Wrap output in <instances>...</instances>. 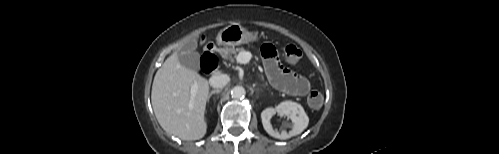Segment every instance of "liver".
Segmentation results:
<instances>
[{
  "mask_svg": "<svg viewBox=\"0 0 499 154\" xmlns=\"http://www.w3.org/2000/svg\"><path fill=\"white\" fill-rule=\"evenodd\" d=\"M178 52L169 56L153 80L151 102L160 126L182 140L201 139L207 130L204 119L208 81L180 64ZM197 86L192 97L191 87Z\"/></svg>",
  "mask_w": 499,
  "mask_h": 154,
  "instance_id": "obj_1",
  "label": "liver"
}]
</instances>
